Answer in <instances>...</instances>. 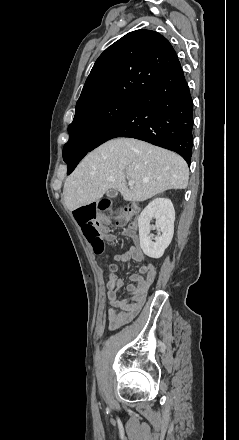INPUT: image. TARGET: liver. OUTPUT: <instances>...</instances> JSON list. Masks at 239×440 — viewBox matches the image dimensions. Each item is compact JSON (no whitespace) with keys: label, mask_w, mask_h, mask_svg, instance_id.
<instances>
[{"label":"liver","mask_w":239,"mask_h":440,"mask_svg":"<svg viewBox=\"0 0 239 440\" xmlns=\"http://www.w3.org/2000/svg\"><path fill=\"white\" fill-rule=\"evenodd\" d=\"M133 180L134 188H127ZM188 166L178 154L133 138L105 142L78 164L63 188L68 210H77L118 190L127 202H143L165 190H184Z\"/></svg>","instance_id":"6515ba94"}]
</instances>
